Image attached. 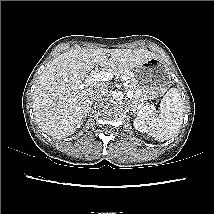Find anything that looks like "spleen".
I'll return each instance as SVG.
<instances>
[{
    "instance_id": "spleen-1",
    "label": "spleen",
    "mask_w": 214,
    "mask_h": 214,
    "mask_svg": "<svg viewBox=\"0 0 214 214\" xmlns=\"http://www.w3.org/2000/svg\"><path fill=\"white\" fill-rule=\"evenodd\" d=\"M184 103L177 88H171L160 103L159 115L142 116L149 136L158 141L175 137L182 125Z\"/></svg>"
}]
</instances>
